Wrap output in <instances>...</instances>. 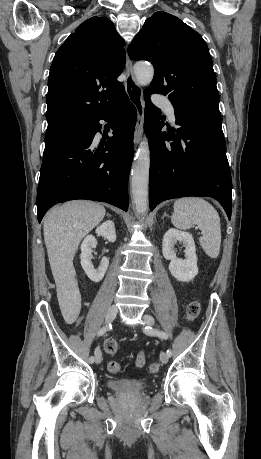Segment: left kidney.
I'll return each mask as SVG.
<instances>
[{
  "label": "left kidney",
  "instance_id": "5707ae66",
  "mask_svg": "<svg viewBox=\"0 0 261 459\" xmlns=\"http://www.w3.org/2000/svg\"><path fill=\"white\" fill-rule=\"evenodd\" d=\"M177 241L185 247V259L176 256L174 245ZM162 252L164 258L170 260L171 275L178 281L189 282L198 274L196 248L190 233L170 228L163 237Z\"/></svg>",
  "mask_w": 261,
  "mask_h": 459
}]
</instances>
